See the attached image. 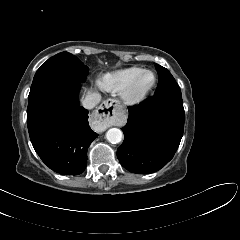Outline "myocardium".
I'll return each instance as SVG.
<instances>
[{
    "mask_svg": "<svg viewBox=\"0 0 240 240\" xmlns=\"http://www.w3.org/2000/svg\"><path fill=\"white\" fill-rule=\"evenodd\" d=\"M151 73L153 75V83L149 88L142 92L136 91V86L140 78L146 74ZM157 84V75L154 71L149 69H144L136 78L122 91V97L125 103L128 105H139L143 103L149 95L152 93Z\"/></svg>",
    "mask_w": 240,
    "mask_h": 240,
    "instance_id": "f54148a6",
    "label": "myocardium"
}]
</instances>
